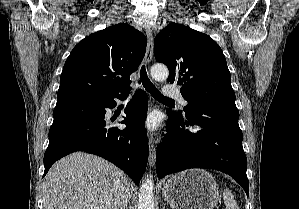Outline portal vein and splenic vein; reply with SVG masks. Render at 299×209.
I'll return each instance as SVG.
<instances>
[{
  "instance_id": "portal-vein-and-splenic-vein-1",
  "label": "portal vein and splenic vein",
  "mask_w": 299,
  "mask_h": 209,
  "mask_svg": "<svg viewBox=\"0 0 299 209\" xmlns=\"http://www.w3.org/2000/svg\"><path fill=\"white\" fill-rule=\"evenodd\" d=\"M94 209H99L98 207H95Z\"/></svg>"
}]
</instances>
